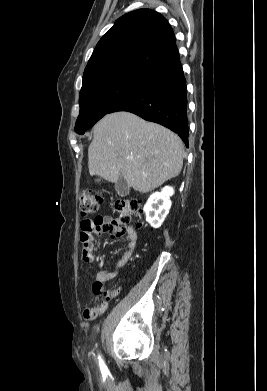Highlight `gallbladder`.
<instances>
[{"instance_id": "gallbladder-1", "label": "gallbladder", "mask_w": 267, "mask_h": 391, "mask_svg": "<svg viewBox=\"0 0 267 391\" xmlns=\"http://www.w3.org/2000/svg\"><path fill=\"white\" fill-rule=\"evenodd\" d=\"M116 192L119 196L125 197L129 194V186L123 176H120L115 184Z\"/></svg>"}]
</instances>
